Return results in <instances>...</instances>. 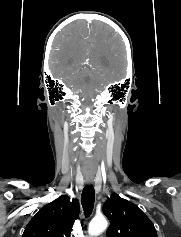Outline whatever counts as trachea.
<instances>
[{
  "instance_id": "trachea-1",
  "label": "trachea",
  "mask_w": 181,
  "mask_h": 237,
  "mask_svg": "<svg viewBox=\"0 0 181 237\" xmlns=\"http://www.w3.org/2000/svg\"><path fill=\"white\" fill-rule=\"evenodd\" d=\"M95 200V191L92 185H86L81 196V203L84 209V214L88 217L93 210Z\"/></svg>"
}]
</instances>
